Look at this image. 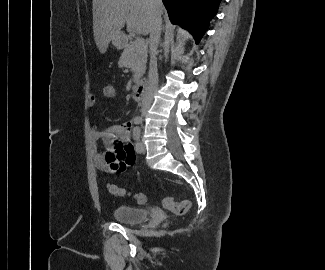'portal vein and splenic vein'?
Masks as SVG:
<instances>
[{"label":"portal vein and splenic vein","mask_w":325,"mask_h":270,"mask_svg":"<svg viewBox=\"0 0 325 270\" xmlns=\"http://www.w3.org/2000/svg\"><path fill=\"white\" fill-rule=\"evenodd\" d=\"M135 42H136L137 45H139V46H144V44H145L144 39H142V38H140V37H137Z\"/></svg>","instance_id":"18ae733b"}]
</instances>
